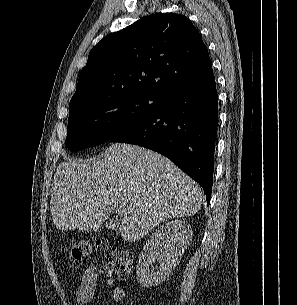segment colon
Here are the masks:
<instances>
[{"label": "colon", "instance_id": "1", "mask_svg": "<svg viewBox=\"0 0 297 305\" xmlns=\"http://www.w3.org/2000/svg\"><path fill=\"white\" fill-rule=\"evenodd\" d=\"M100 246L99 242L93 240H79L71 244L69 258L75 267L82 266L90 259L94 247ZM106 259L108 269L112 275L117 277L128 276L133 269L132 254L117 246H106Z\"/></svg>", "mask_w": 297, "mask_h": 305}]
</instances>
